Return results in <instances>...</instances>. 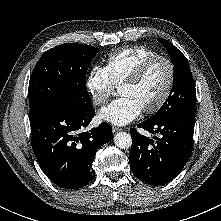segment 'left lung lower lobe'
I'll return each instance as SVG.
<instances>
[{"instance_id": "left-lung-lower-lobe-1", "label": "left lung lower lobe", "mask_w": 221, "mask_h": 221, "mask_svg": "<svg viewBox=\"0 0 221 221\" xmlns=\"http://www.w3.org/2000/svg\"><path fill=\"white\" fill-rule=\"evenodd\" d=\"M194 122L195 117L181 114L162 121L140 123V128L160 135L154 137L156 142L132 129L129 161L134 176L151 185L173 180L192 153Z\"/></svg>"}]
</instances>
